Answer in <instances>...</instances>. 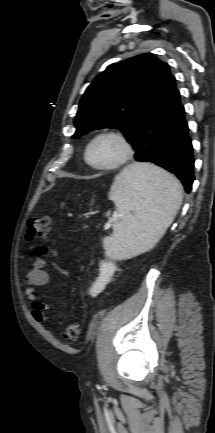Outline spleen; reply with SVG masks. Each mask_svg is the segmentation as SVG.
<instances>
[{
	"instance_id": "3e777b00",
	"label": "spleen",
	"mask_w": 215,
	"mask_h": 433,
	"mask_svg": "<svg viewBox=\"0 0 215 433\" xmlns=\"http://www.w3.org/2000/svg\"><path fill=\"white\" fill-rule=\"evenodd\" d=\"M109 199L116 205L106 255L131 258L152 249L173 222L182 202L180 183L153 164L134 163L115 178Z\"/></svg>"
}]
</instances>
